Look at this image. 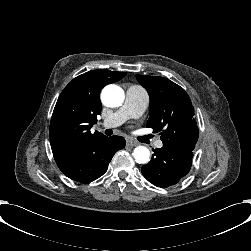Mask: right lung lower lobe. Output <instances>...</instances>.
<instances>
[{
  "mask_svg": "<svg viewBox=\"0 0 251 251\" xmlns=\"http://www.w3.org/2000/svg\"><path fill=\"white\" fill-rule=\"evenodd\" d=\"M124 147L125 139L123 137L105 136L94 144L87 157L62 172L74 181L92 182L107 171L113 155Z\"/></svg>",
  "mask_w": 251,
  "mask_h": 251,
  "instance_id": "1",
  "label": "right lung lower lobe"
}]
</instances>
